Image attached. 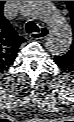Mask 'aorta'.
Returning <instances> with one entry per match:
<instances>
[{"label":"aorta","mask_w":74,"mask_h":122,"mask_svg":"<svg viewBox=\"0 0 74 122\" xmlns=\"http://www.w3.org/2000/svg\"><path fill=\"white\" fill-rule=\"evenodd\" d=\"M20 11L33 20L49 27L46 48L52 54L67 53L72 44V29L67 19L52 1H19Z\"/></svg>","instance_id":"obj_1"}]
</instances>
